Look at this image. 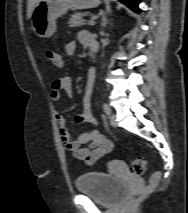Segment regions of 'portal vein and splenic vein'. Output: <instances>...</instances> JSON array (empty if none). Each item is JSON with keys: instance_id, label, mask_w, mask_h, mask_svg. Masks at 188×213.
I'll use <instances>...</instances> for the list:
<instances>
[{"instance_id": "portal-vein-and-splenic-vein-1", "label": "portal vein and splenic vein", "mask_w": 188, "mask_h": 213, "mask_svg": "<svg viewBox=\"0 0 188 213\" xmlns=\"http://www.w3.org/2000/svg\"><path fill=\"white\" fill-rule=\"evenodd\" d=\"M87 23H88V25L92 26V25L95 24V21H94V19H91V20H89Z\"/></svg>"}]
</instances>
